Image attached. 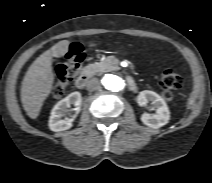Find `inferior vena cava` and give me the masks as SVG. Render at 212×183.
<instances>
[{
	"label": "inferior vena cava",
	"instance_id": "obj_1",
	"mask_svg": "<svg viewBox=\"0 0 212 183\" xmlns=\"http://www.w3.org/2000/svg\"><path fill=\"white\" fill-rule=\"evenodd\" d=\"M101 87L100 81L97 78H91L87 82V89L90 91L98 90Z\"/></svg>",
	"mask_w": 212,
	"mask_h": 183
}]
</instances>
